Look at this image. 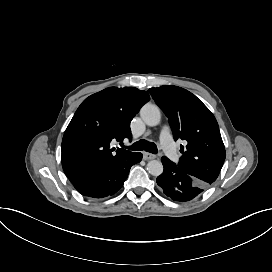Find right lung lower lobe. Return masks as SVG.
<instances>
[{
    "label": "right lung lower lobe",
    "instance_id": "98d812e1",
    "mask_svg": "<svg viewBox=\"0 0 272 272\" xmlns=\"http://www.w3.org/2000/svg\"><path fill=\"white\" fill-rule=\"evenodd\" d=\"M142 154L131 155L101 170L74 178L71 181L76 190L90 198H105L114 195L124 184L132 165L140 162Z\"/></svg>",
    "mask_w": 272,
    "mask_h": 272
}]
</instances>
